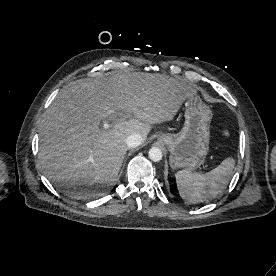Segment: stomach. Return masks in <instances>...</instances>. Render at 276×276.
I'll list each match as a JSON object with an SVG mask.
<instances>
[{
    "instance_id": "obj_1",
    "label": "stomach",
    "mask_w": 276,
    "mask_h": 276,
    "mask_svg": "<svg viewBox=\"0 0 276 276\" xmlns=\"http://www.w3.org/2000/svg\"><path fill=\"white\" fill-rule=\"evenodd\" d=\"M184 116L182 130L177 134L162 133L159 141L167 146L173 169L193 171L204 164L209 152L212 111L199 96L194 95L185 101Z\"/></svg>"
}]
</instances>
